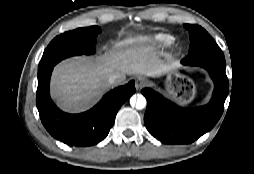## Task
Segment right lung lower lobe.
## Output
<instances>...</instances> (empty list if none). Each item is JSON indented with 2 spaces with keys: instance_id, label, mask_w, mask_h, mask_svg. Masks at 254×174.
Here are the masks:
<instances>
[{
  "instance_id": "obj_1",
  "label": "right lung lower lobe",
  "mask_w": 254,
  "mask_h": 174,
  "mask_svg": "<svg viewBox=\"0 0 254 174\" xmlns=\"http://www.w3.org/2000/svg\"><path fill=\"white\" fill-rule=\"evenodd\" d=\"M53 67L38 76L37 109L46 130L57 140L71 146L86 147L99 143L109 133L121 105L135 93L134 81L107 93L91 110L67 114L59 110L49 95Z\"/></svg>"
}]
</instances>
